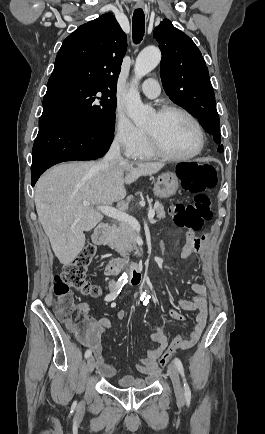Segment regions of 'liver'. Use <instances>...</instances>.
Returning <instances> with one entry per match:
<instances>
[{"label":"liver","instance_id":"6515ba94","mask_svg":"<svg viewBox=\"0 0 265 434\" xmlns=\"http://www.w3.org/2000/svg\"><path fill=\"white\" fill-rule=\"evenodd\" d=\"M98 166L99 162L60 164L43 174L36 184L34 202L38 218L56 258L64 266L83 250V232L93 230L103 218L93 206L120 202L126 196L124 184H133L140 176L157 174L165 164L119 162L107 170ZM82 202H90V206H83Z\"/></svg>","mask_w":265,"mask_h":434}]
</instances>
